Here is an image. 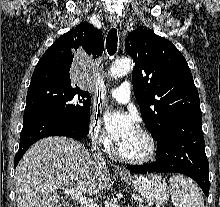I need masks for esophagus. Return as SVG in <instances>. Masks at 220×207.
<instances>
[{
    "label": "esophagus",
    "mask_w": 220,
    "mask_h": 207,
    "mask_svg": "<svg viewBox=\"0 0 220 207\" xmlns=\"http://www.w3.org/2000/svg\"><path fill=\"white\" fill-rule=\"evenodd\" d=\"M109 21L113 26H117L120 22V19L117 15H110ZM122 174H125V171H121Z\"/></svg>",
    "instance_id": "esophagus-1"
}]
</instances>
